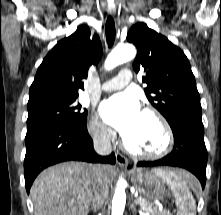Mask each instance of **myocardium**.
<instances>
[{
    "instance_id": "myocardium-1",
    "label": "myocardium",
    "mask_w": 221,
    "mask_h": 215,
    "mask_svg": "<svg viewBox=\"0 0 221 215\" xmlns=\"http://www.w3.org/2000/svg\"><path fill=\"white\" fill-rule=\"evenodd\" d=\"M142 113L151 116L159 124L164 137V142L162 147L155 152H141L132 149L124 138H122V146L128 154L136 158L149 159V160L162 158L166 156L168 153H170V151L173 148L174 136L172 128L169 122L167 121V119L165 118V116L157 109L153 107H146L143 109Z\"/></svg>"
}]
</instances>
